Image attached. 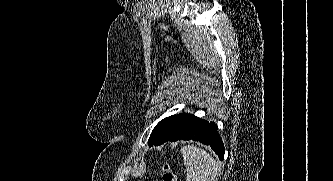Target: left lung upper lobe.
<instances>
[{
  "mask_svg": "<svg viewBox=\"0 0 333 181\" xmlns=\"http://www.w3.org/2000/svg\"><path fill=\"white\" fill-rule=\"evenodd\" d=\"M195 118L194 115L184 113L161 120L153 129L148 142L151 143L154 139L170 141L186 129Z\"/></svg>",
  "mask_w": 333,
  "mask_h": 181,
  "instance_id": "5c2ea615",
  "label": "left lung upper lobe"
}]
</instances>
